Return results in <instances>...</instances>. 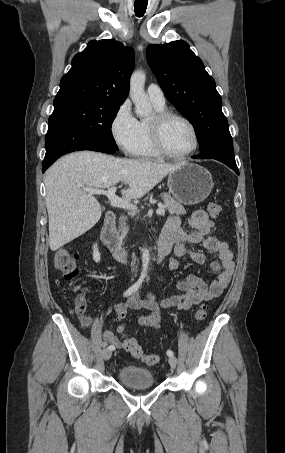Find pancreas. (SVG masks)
<instances>
[{
    "label": "pancreas",
    "instance_id": "obj_1",
    "mask_svg": "<svg viewBox=\"0 0 285 453\" xmlns=\"http://www.w3.org/2000/svg\"><path fill=\"white\" fill-rule=\"evenodd\" d=\"M164 200V207L169 211L170 214L184 215L186 210L184 207L177 201H175L170 194L163 193L161 194Z\"/></svg>",
    "mask_w": 285,
    "mask_h": 453
}]
</instances>
